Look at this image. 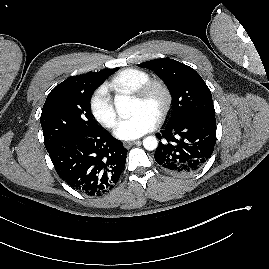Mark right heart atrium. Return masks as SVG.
I'll use <instances>...</instances> for the list:
<instances>
[{
    "label": "right heart atrium",
    "instance_id": "1",
    "mask_svg": "<svg viewBox=\"0 0 269 269\" xmlns=\"http://www.w3.org/2000/svg\"><path fill=\"white\" fill-rule=\"evenodd\" d=\"M89 106L92 115L98 122L109 129L115 128L117 113L106 85L102 84L94 90Z\"/></svg>",
    "mask_w": 269,
    "mask_h": 269
}]
</instances>
